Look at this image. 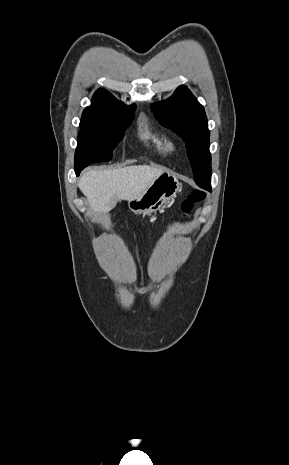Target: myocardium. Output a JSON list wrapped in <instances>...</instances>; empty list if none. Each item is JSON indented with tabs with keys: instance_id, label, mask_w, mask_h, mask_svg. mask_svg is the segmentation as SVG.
<instances>
[{
	"instance_id": "obj_1",
	"label": "myocardium",
	"mask_w": 289,
	"mask_h": 465,
	"mask_svg": "<svg viewBox=\"0 0 289 465\" xmlns=\"http://www.w3.org/2000/svg\"><path fill=\"white\" fill-rule=\"evenodd\" d=\"M167 147H168V150L174 151L176 149V143L173 140H169Z\"/></svg>"
}]
</instances>
